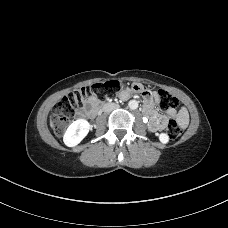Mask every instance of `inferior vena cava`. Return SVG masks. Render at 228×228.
<instances>
[{
	"label": "inferior vena cava",
	"instance_id": "inferior-vena-cava-1",
	"mask_svg": "<svg viewBox=\"0 0 228 228\" xmlns=\"http://www.w3.org/2000/svg\"><path fill=\"white\" fill-rule=\"evenodd\" d=\"M118 107H119V105L115 104V103L106 104L103 107V111L104 112H111L112 110H114V109H116Z\"/></svg>",
	"mask_w": 228,
	"mask_h": 228
}]
</instances>
